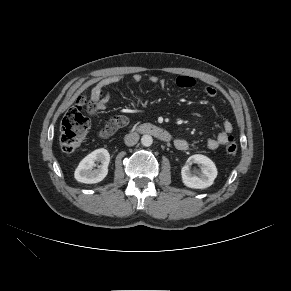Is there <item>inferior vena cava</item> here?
<instances>
[{"label": "inferior vena cava", "instance_id": "1", "mask_svg": "<svg viewBox=\"0 0 291 291\" xmlns=\"http://www.w3.org/2000/svg\"><path fill=\"white\" fill-rule=\"evenodd\" d=\"M139 140V134L134 132V133H130L128 135L125 136V144L127 146H133L135 145Z\"/></svg>", "mask_w": 291, "mask_h": 291}]
</instances>
